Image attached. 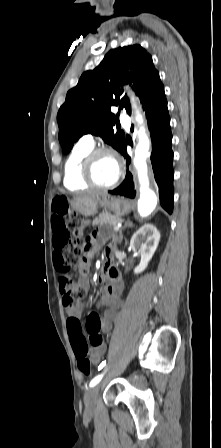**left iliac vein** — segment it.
<instances>
[{"label": "left iliac vein", "mask_w": 221, "mask_h": 448, "mask_svg": "<svg viewBox=\"0 0 221 448\" xmlns=\"http://www.w3.org/2000/svg\"><path fill=\"white\" fill-rule=\"evenodd\" d=\"M100 389V384H97L90 389H88L84 396V403L86 410L91 412L95 409L97 403L98 392Z\"/></svg>", "instance_id": "1"}]
</instances>
